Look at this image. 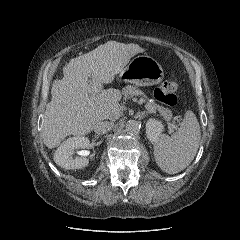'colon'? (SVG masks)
I'll return each instance as SVG.
<instances>
[{
    "label": "colon",
    "mask_w": 240,
    "mask_h": 240,
    "mask_svg": "<svg viewBox=\"0 0 240 240\" xmlns=\"http://www.w3.org/2000/svg\"><path fill=\"white\" fill-rule=\"evenodd\" d=\"M178 82L176 79L166 81L159 86L155 92V98L167 106H175L180 102V97L176 93Z\"/></svg>",
    "instance_id": "obj_1"
}]
</instances>
